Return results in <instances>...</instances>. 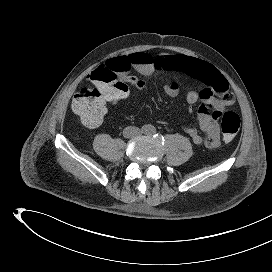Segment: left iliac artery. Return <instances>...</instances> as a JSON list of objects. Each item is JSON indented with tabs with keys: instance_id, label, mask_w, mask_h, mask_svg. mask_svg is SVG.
Segmentation results:
<instances>
[{
	"instance_id": "obj_1",
	"label": "left iliac artery",
	"mask_w": 272,
	"mask_h": 272,
	"mask_svg": "<svg viewBox=\"0 0 272 272\" xmlns=\"http://www.w3.org/2000/svg\"><path fill=\"white\" fill-rule=\"evenodd\" d=\"M151 132H152V133H155V129H154V128H152V129H151Z\"/></svg>"
}]
</instances>
